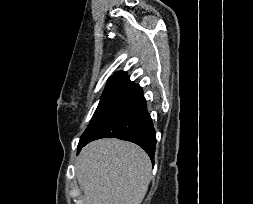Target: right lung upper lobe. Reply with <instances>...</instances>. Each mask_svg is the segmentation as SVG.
Here are the masks:
<instances>
[{"instance_id":"obj_1","label":"right lung upper lobe","mask_w":253,"mask_h":204,"mask_svg":"<svg viewBox=\"0 0 253 204\" xmlns=\"http://www.w3.org/2000/svg\"><path fill=\"white\" fill-rule=\"evenodd\" d=\"M126 82H131L129 80L128 75H126L125 72H119V73L113 75L109 79L107 85L116 84V83H126Z\"/></svg>"}]
</instances>
